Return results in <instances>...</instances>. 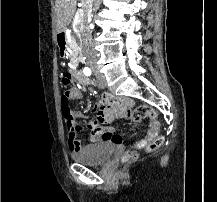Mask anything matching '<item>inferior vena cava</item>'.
Returning a JSON list of instances; mask_svg holds the SVG:
<instances>
[{
	"instance_id": "602c4592",
	"label": "inferior vena cava",
	"mask_w": 217,
	"mask_h": 202,
	"mask_svg": "<svg viewBox=\"0 0 217 202\" xmlns=\"http://www.w3.org/2000/svg\"><path fill=\"white\" fill-rule=\"evenodd\" d=\"M81 2L86 12L85 22L87 24L86 30H82L81 32L84 54L86 58H96V52L92 42V30L88 26L91 22V10L94 0H81Z\"/></svg>"
}]
</instances>
